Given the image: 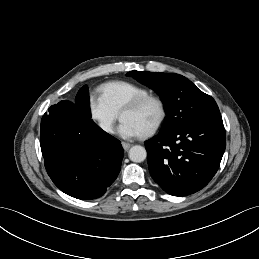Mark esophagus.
<instances>
[{"label": "esophagus", "instance_id": "34e87169", "mask_svg": "<svg viewBox=\"0 0 259 259\" xmlns=\"http://www.w3.org/2000/svg\"><path fill=\"white\" fill-rule=\"evenodd\" d=\"M122 146H123V148H124L125 151H128L129 148L131 147V144L126 143V142H122Z\"/></svg>", "mask_w": 259, "mask_h": 259}]
</instances>
